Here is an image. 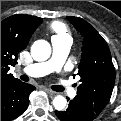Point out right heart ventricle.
Returning a JSON list of instances; mask_svg holds the SVG:
<instances>
[{
	"instance_id": "right-heart-ventricle-1",
	"label": "right heart ventricle",
	"mask_w": 121,
	"mask_h": 121,
	"mask_svg": "<svg viewBox=\"0 0 121 121\" xmlns=\"http://www.w3.org/2000/svg\"><path fill=\"white\" fill-rule=\"evenodd\" d=\"M51 30L56 33L53 38H62L68 36V32L65 25L60 22L53 23L51 26Z\"/></svg>"
}]
</instances>
